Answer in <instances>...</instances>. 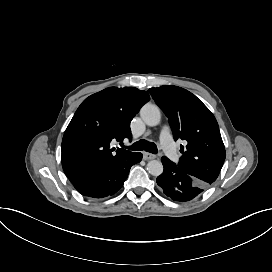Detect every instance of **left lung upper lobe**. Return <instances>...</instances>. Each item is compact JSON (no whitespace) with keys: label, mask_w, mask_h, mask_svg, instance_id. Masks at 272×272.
<instances>
[{"label":"left lung upper lobe","mask_w":272,"mask_h":272,"mask_svg":"<svg viewBox=\"0 0 272 272\" xmlns=\"http://www.w3.org/2000/svg\"><path fill=\"white\" fill-rule=\"evenodd\" d=\"M169 119L174 140L181 145L178 167L200 182L210 185L218 177L226 152L218 123L210 110L191 92L178 86L149 89Z\"/></svg>","instance_id":"left-lung-upper-lobe-1"}]
</instances>
